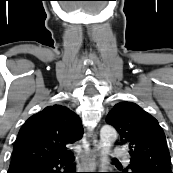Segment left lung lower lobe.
Segmentation results:
<instances>
[{
    "instance_id": "left-lung-lower-lobe-1",
    "label": "left lung lower lobe",
    "mask_w": 173,
    "mask_h": 173,
    "mask_svg": "<svg viewBox=\"0 0 173 173\" xmlns=\"http://www.w3.org/2000/svg\"><path fill=\"white\" fill-rule=\"evenodd\" d=\"M122 173H150V172H142V171H139V170H133V169H129V170H124Z\"/></svg>"
}]
</instances>
